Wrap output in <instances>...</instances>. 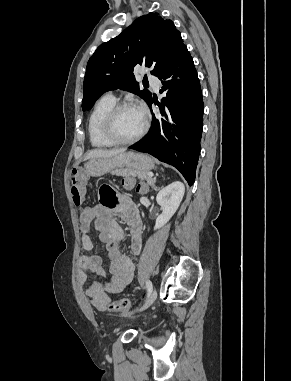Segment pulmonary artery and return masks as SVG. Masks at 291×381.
I'll return each instance as SVG.
<instances>
[{
    "mask_svg": "<svg viewBox=\"0 0 291 381\" xmlns=\"http://www.w3.org/2000/svg\"><path fill=\"white\" fill-rule=\"evenodd\" d=\"M148 80L154 86V88L157 90L158 86H159V80L150 74H148ZM106 96L111 97V98H115L111 92L107 93Z\"/></svg>",
    "mask_w": 291,
    "mask_h": 381,
    "instance_id": "e3ab8cb5",
    "label": "pulmonary artery"
}]
</instances>
